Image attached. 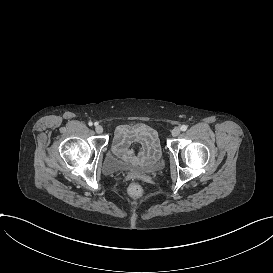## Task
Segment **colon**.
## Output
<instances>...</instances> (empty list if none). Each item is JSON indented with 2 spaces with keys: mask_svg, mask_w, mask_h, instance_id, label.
Instances as JSON below:
<instances>
[{
  "mask_svg": "<svg viewBox=\"0 0 273 273\" xmlns=\"http://www.w3.org/2000/svg\"><path fill=\"white\" fill-rule=\"evenodd\" d=\"M124 192L128 196L129 200L134 203L143 201L146 196L144 186L135 181L128 182L124 187Z\"/></svg>",
  "mask_w": 273,
  "mask_h": 273,
  "instance_id": "1",
  "label": "colon"
}]
</instances>
